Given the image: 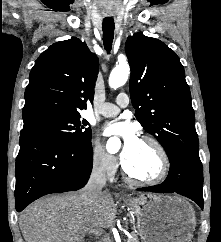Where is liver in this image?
Listing matches in <instances>:
<instances>
[{
	"mask_svg": "<svg viewBox=\"0 0 221 242\" xmlns=\"http://www.w3.org/2000/svg\"><path fill=\"white\" fill-rule=\"evenodd\" d=\"M82 194L50 196L29 205L19 219L25 241L82 242L86 233L111 226L116 216L112 196L105 192L89 204Z\"/></svg>",
	"mask_w": 221,
	"mask_h": 242,
	"instance_id": "liver-1",
	"label": "liver"
}]
</instances>
